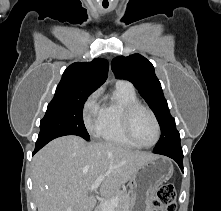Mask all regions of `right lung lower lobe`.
<instances>
[{"label": "right lung lower lobe", "instance_id": "right-lung-lower-lobe-1", "mask_svg": "<svg viewBox=\"0 0 221 211\" xmlns=\"http://www.w3.org/2000/svg\"><path fill=\"white\" fill-rule=\"evenodd\" d=\"M49 141L51 140H46L43 142H36V147H35L33 154H35L38 150H40L43 146H45Z\"/></svg>", "mask_w": 221, "mask_h": 211}]
</instances>
